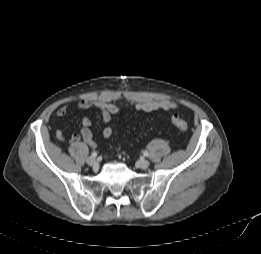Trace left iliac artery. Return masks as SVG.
Instances as JSON below:
<instances>
[{
  "label": "left iliac artery",
  "instance_id": "obj_1",
  "mask_svg": "<svg viewBox=\"0 0 261 254\" xmlns=\"http://www.w3.org/2000/svg\"><path fill=\"white\" fill-rule=\"evenodd\" d=\"M143 154H144V156H148L149 155L147 151H144Z\"/></svg>",
  "mask_w": 261,
  "mask_h": 254
}]
</instances>
